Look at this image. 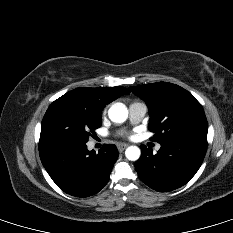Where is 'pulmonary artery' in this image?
Here are the masks:
<instances>
[{
  "mask_svg": "<svg viewBox=\"0 0 233 233\" xmlns=\"http://www.w3.org/2000/svg\"><path fill=\"white\" fill-rule=\"evenodd\" d=\"M147 112V107L144 103L134 102L129 105V118L131 123H139L145 116ZM157 149H160V145L156 146Z\"/></svg>",
  "mask_w": 233,
  "mask_h": 233,
  "instance_id": "obj_1",
  "label": "pulmonary artery"
}]
</instances>
